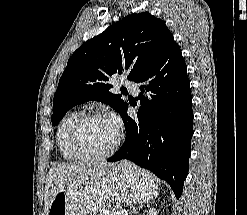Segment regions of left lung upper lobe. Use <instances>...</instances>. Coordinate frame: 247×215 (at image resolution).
Segmentation results:
<instances>
[{
    "label": "left lung upper lobe",
    "mask_w": 247,
    "mask_h": 215,
    "mask_svg": "<svg viewBox=\"0 0 247 215\" xmlns=\"http://www.w3.org/2000/svg\"><path fill=\"white\" fill-rule=\"evenodd\" d=\"M173 38L164 21L148 12L131 14L83 43L67 63L53 99L51 121L57 125L77 104L96 100L120 115L127 109L121 95L109 90L111 76L129 74L136 81Z\"/></svg>",
    "instance_id": "1"
}]
</instances>
